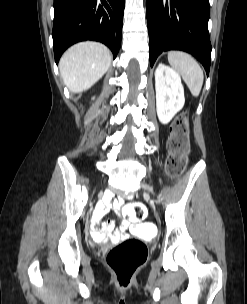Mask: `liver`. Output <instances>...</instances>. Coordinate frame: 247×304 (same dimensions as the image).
<instances>
[{"mask_svg":"<svg viewBox=\"0 0 247 304\" xmlns=\"http://www.w3.org/2000/svg\"><path fill=\"white\" fill-rule=\"evenodd\" d=\"M111 61V52L105 45L85 41L62 55L59 69L69 90L79 93L92 87L109 69Z\"/></svg>","mask_w":247,"mask_h":304,"instance_id":"liver-1","label":"liver"}]
</instances>
